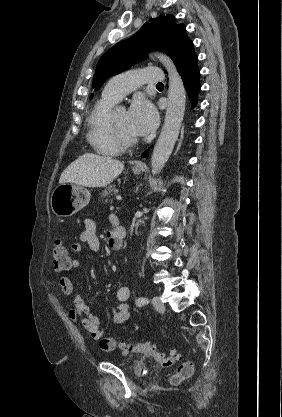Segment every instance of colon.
<instances>
[{"mask_svg": "<svg viewBox=\"0 0 282 417\" xmlns=\"http://www.w3.org/2000/svg\"><path fill=\"white\" fill-rule=\"evenodd\" d=\"M52 261L54 268L58 271L69 270L72 266V260L68 254L66 245L62 240L56 239L52 245ZM127 352L143 355L154 360L162 368H170L177 362L176 348L170 347L169 354H165L158 350L149 342H134L124 345ZM103 353H114L115 342L113 339H104L102 342ZM194 364L188 360L186 363L180 364V369L171 376L173 383L180 382L192 375Z\"/></svg>", "mask_w": 282, "mask_h": 417, "instance_id": "obj_1", "label": "colon"}]
</instances>
